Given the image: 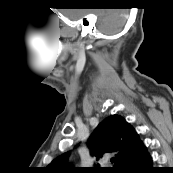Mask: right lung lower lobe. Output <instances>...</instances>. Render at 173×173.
Here are the masks:
<instances>
[{
  "label": "right lung lower lobe",
  "mask_w": 173,
  "mask_h": 173,
  "mask_svg": "<svg viewBox=\"0 0 173 173\" xmlns=\"http://www.w3.org/2000/svg\"><path fill=\"white\" fill-rule=\"evenodd\" d=\"M159 170L152 166V159L146 147L143 146L134 154L127 157L115 173H158Z\"/></svg>",
  "instance_id": "1"
}]
</instances>
